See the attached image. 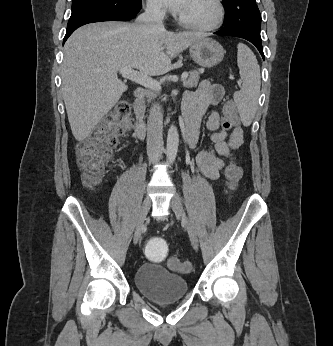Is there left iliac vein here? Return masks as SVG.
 <instances>
[{
	"label": "left iliac vein",
	"mask_w": 333,
	"mask_h": 346,
	"mask_svg": "<svg viewBox=\"0 0 333 346\" xmlns=\"http://www.w3.org/2000/svg\"><path fill=\"white\" fill-rule=\"evenodd\" d=\"M170 206L176 214H178L179 216H181L183 218L184 225H185V228L188 232L190 241H191L194 249L198 250L199 240H198L197 233H196L193 225L191 224V222L188 220V218L185 214V211L183 209L181 200L177 194L173 195V197L171 198Z\"/></svg>",
	"instance_id": "4c4485c4"
}]
</instances>
